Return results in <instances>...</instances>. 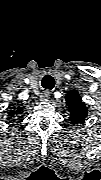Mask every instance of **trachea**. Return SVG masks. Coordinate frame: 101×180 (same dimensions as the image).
Returning <instances> with one entry per match:
<instances>
[{"instance_id": "trachea-1", "label": "trachea", "mask_w": 101, "mask_h": 180, "mask_svg": "<svg viewBox=\"0 0 101 180\" xmlns=\"http://www.w3.org/2000/svg\"><path fill=\"white\" fill-rule=\"evenodd\" d=\"M41 85L43 88L51 90L55 86V80L52 76L45 75L41 81Z\"/></svg>"}]
</instances>
